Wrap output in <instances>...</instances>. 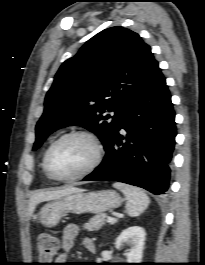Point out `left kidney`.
Wrapping results in <instances>:
<instances>
[{"label": "left kidney", "instance_id": "left-kidney-1", "mask_svg": "<svg viewBox=\"0 0 205 265\" xmlns=\"http://www.w3.org/2000/svg\"><path fill=\"white\" fill-rule=\"evenodd\" d=\"M145 235V230L142 227L131 226L125 229L116 239L117 249H120L123 244L130 246L126 253L128 263H141Z\"/></svg>", "mask_w": 205, "mask_h": 265}]
</instances>
